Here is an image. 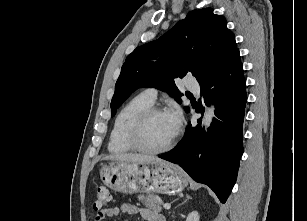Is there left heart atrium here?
<instances>
[{
	"instance_id": "obj_1",
	"label": "left heart atrium",
	"mask_w": 307,
	"mask_h": 221,
	"mask_svg": "<svg viewBox=\"0 0 307 221\" xmlns=\"http://www.w3.org/2000/svg\"><path fill=\"white\" fill-rule=\"evenodd\" d=\"M168 115L176 132L181 124V113L177 108H174L168 113Z\"/></svg>"
}]
</instances>
